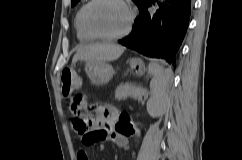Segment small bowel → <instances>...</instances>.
I'll list each match as a JSON object with an SVG mask.
<instances>
[{
	"label": "small bowel",
	"mask_w": 242,
	"mask_h": 160,
	"mask_svg": "<svg viewBox=\"0 0 242 160\" xmlns=\"http://www.w3.org/2000/svg\"><path fill=\"white\" fill-rule=\"evenodd\" d=\"M114 124H115V121H114V117H113V113L112 112L104 113L103 114V118H101V119H94L92 121V126L96 130L107 131L108 130V126H110L112 128V130L108 133V135L105 136L102 139H105L107 137V139L109 141L113 142L117 146H119V147H121L123 149H128L129 148V142H128L127 136L128 135H134L135 134V130L132 133H128V134L127 133H123L121 131H118L114 127ZM77 159L78 160H88V155H87L86 151L81 150L78 153Z\"/></svg>",
	"instance_id": "obj_1"
}]
</instances>
